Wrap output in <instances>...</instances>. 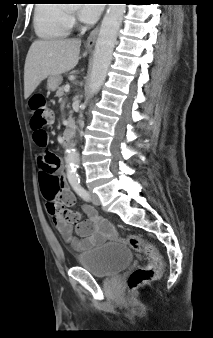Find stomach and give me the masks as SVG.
Segmentation results:
<instances>
[{
    "mask_svg": "<svg viewBox=\"0 0 213 338\" xmlns=\"http://www.w3.org/2000/svg\"><path fill=\"white\" fill-rule=\"evenodd\" d=\"M62 76L61 75H51L47 79V89L49 91H55L61 84Z\"/></svg>",
    "mask_w": 213,
    "mask_h": 338,
    "instance_id": "0dacf381",
    "label": "stomach"
}]
</instances>
